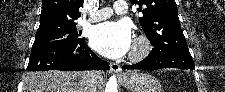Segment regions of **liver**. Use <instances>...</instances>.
<instances>
[{
  "label": "liver",
  "instance_id": "6515ba94",
  "mask_svg": "<svg viewBox=\"0 0 225 92\" xmlns=\"http://www.w3.org/2000/svg\"><path fill=\"white\" fill-rule=\"evenodd\" d=\"M96 77V90L102 89L103 78L97 71H44L26 73L24 92H92L90 80Z\"/></svg>",
  "mask_w": 225,
  "mask_h": 92
}]
</instances>
